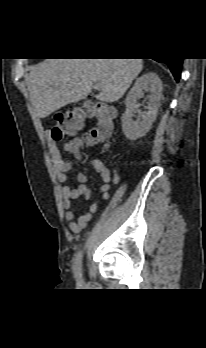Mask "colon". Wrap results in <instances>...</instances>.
<instances>
[{"label":"colon","instance_id":"colon-1","mask_svg":"<svg viewBox=\"0 0 206 348\" xmlns=\"http://www.w3.org/2000/svg\"><path fill=\"white\" fill-rule=\"evenodd\" d=\"M114 117L115 111L109 105L86 103L80 107L59 111L53 118L51 138L61 141L79 130L86 121H93V127L82 139H75L70 143L74 151H80L85 145L109 138L114 127Z\"/></svg>","mask_w":206,"mask_h":348}]
</instances>
